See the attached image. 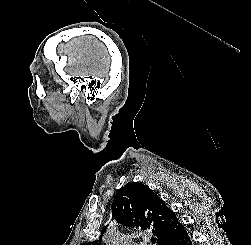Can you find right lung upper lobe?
I'll return each instance as SVG.
<instances>
[{
	"label": "right lung upper lobe",
	"instance_id": "right-lung-upper-lobe-1",
	"mask_svg": "<svg viewBox=\"0 0 251 245\" xmlns=\"http://www.w3.org/2000/svg\"><path fill=\"white\" fill-rule=\"evenodd\" d=\"M112 219L126 227L150 230L157 243L173 238L184 226L178 222L174 212L148 186L130 182L115 195L112 205ZM105 226L98 240L82 245H100Z\"/></svg>",
	"mask_w": 251,
	"mask_h": 245
}]
</instances>
